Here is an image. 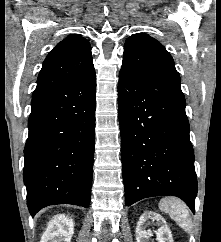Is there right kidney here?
<instances>
[{
  "label": "right kidney",
  "mask_w": 221,
  "mask_h": 242,
  "mask_svg": "<svg viewBox=\"0 0 221 242\" xmlns=\"http://www.w3.org/2000/svg\"><path fill=\"white\" fill-rule=\"evenodd\" d=\"M74 234L72 219L64 214L54 216L48 223L45 231V242H71Z\"/></svg>",
  "instance_id": "obj_1"
}]
</instances>
